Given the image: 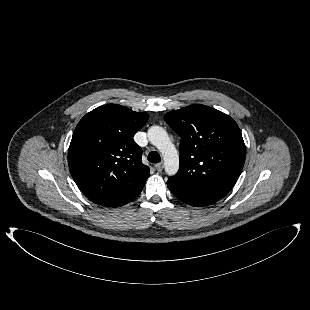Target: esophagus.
Listing matches in <instances>:
<instances>
[{"label": "esophagus", "mask_w": 310, "mask_h": 310, "mask_svg": "<svg viewBox=\"0 0 310 310\" xmlns=\"http://www.w3.org/2000/svg\"><path fill=\"white\" fill-rule=\"evenodd\" d=\"M155 168L158 172H161L163 170V164L162 163H158L155 165Z\"/></svg>", "instance_id": "1"}]
</instances>
